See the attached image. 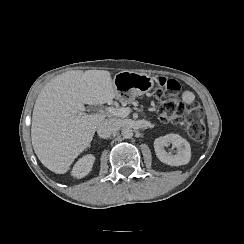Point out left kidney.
<instances>
[{"label": "left kidney", "mask_w": 244, "mask_h": 244, "mask_svg": "<svg viewBox=\"0 0 244 244\" xmlns=\"http://www.w3.org/2000/svg\"><path fill=\"white\" fill-rule=\"evenodd\" d=\"M172 145L173 149H176V154H171V152H166L164 147ZM154 149L157 158L170 166H180L185 165L190 159V145L179 135L168 134L165 136L158 137L154 140Z\"/></svg>", "instance_id": "left-kidney-1"}]
</instances>
